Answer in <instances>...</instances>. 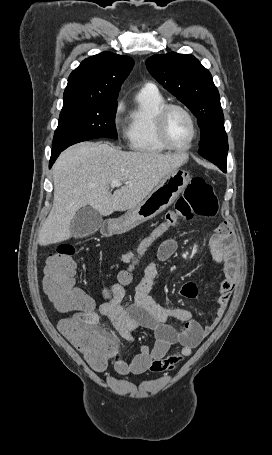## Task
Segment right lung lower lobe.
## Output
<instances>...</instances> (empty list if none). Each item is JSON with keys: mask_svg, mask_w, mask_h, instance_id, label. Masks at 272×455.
Masks as SVG:
<instances>
[{"mask_svg": "<svg viewBox=\"0 0 272 455\" xmlns=\"http://www.w3.org/2000/svg\"><path fill=\"white\" fill-rule=\"evenodd\" d=\"M61 150L52 151L49 167L51 168L52 164L55 162L56 158L59 156Z\"/></svg>", "mask_w": 272, "mask_h": 455, "instance_id": "obj_1", "label": "right lung lower lobe"}]
</instances>
